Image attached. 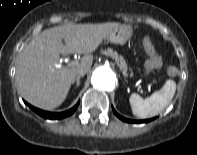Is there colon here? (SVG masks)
Returning <instances> with one entry per match:
<instances>
[{
  "label": "colon",
  "instance_id": "5ec220e1",
  "mask_svg": "<svg viewBox=\"0 0 197 155\" xmlns=\"http://www.w3.org/2000/svg\"><path fill=\"white\" fill-rule=\"evenodd\" d=\"M144 47L146 49V51L148 52V54L150 55V59H149V63L151 66L153 67H158L161 64V59L160 57L157 55V53L155 52V49L153 47V45L151 44V42H146L144 44Z\"/></svg>",
  "mask_w": 197,
  "mask_h": 155
}]
</instances>
